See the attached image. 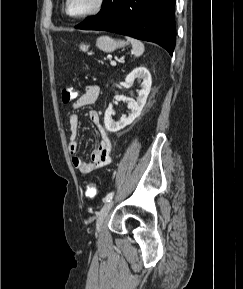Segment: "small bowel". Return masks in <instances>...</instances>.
<instances>
[{"mask_svg":"<svg viewBox=\"0 0 243 289\" xmlns=\"http://www.w3.org/2000/svg\"><path fill=\"white\" fill-rule=\"evenodd\" d=\"M99 96V88L97 85L90 84L86 86L85 92L80 95L73 103V110L80 109L82 107L94 104ZM89 118L92 124L97 129L100 140L97 146L93 149L90 155V161L85 162L79 156L76 155L78 150V130H79V118L76 113L69 115V143L68 151L72 155L73 166L82 174L88 175L89 173L108 165L111 162L110 151L111 141L106 129L101 125L99 114L96 110L89 112Z\"/></svg>","mask_w":243,"mask_h":289,"instance_id":"small-bowel-1","label":"small bowel"}]
</instances>
